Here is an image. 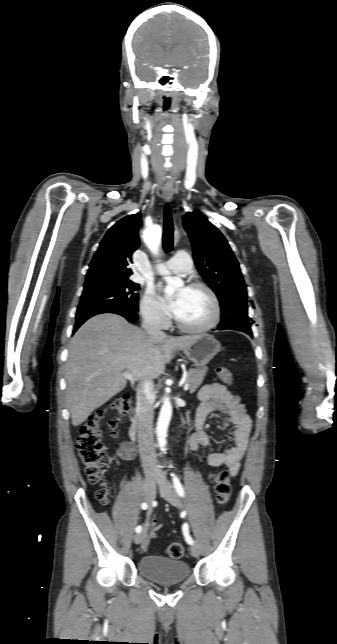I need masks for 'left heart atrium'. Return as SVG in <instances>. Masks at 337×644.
Segmentation results:
<instances>
[{"mask_svg": "<svg viewBox=\"0 0 337 644\" xmlns=\"http://www.w3.org/2000/svg\"><path fill=\"white\" fill-rule=\"evenodd\" d=\"M183 294H184L183 292H180L175 297H173V298H171V299H169V300H167L165 302L166 309L170 313H172L174 316L176 315V313L178 312V310H179V308L181 306V303H182V300H183Z\"/></svg>", "mask_w": 337, "mask_h": 644, "instance_id": "obj_1", "label": "left heart atrium"}]
</instances>
